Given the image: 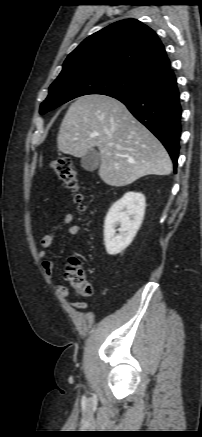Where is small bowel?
<instances>
[{
    "label": "small bowel",
    "instance_id": "obj_1",
    "mask_svg": "<svg viewBox=\"0 0 202 437\" xmlns=\"http://www.w3.org/2000/svg\"><path fill=\"white\" fill-rule=\"evenodd\" d=\"M73 215L71 213H66L60 222L54 224L48 233H46L41 238V250L38 253V258L41 260L42 269L49 280L53 279L54 272V262L48 259L49 249L51 248L57 233L65 229L66 232L71 236L81 237V228L78 225L72 224ZM58 292L65 299L68 298V291L63 286L57 287ZM70 305L76 309H85L86 305L82 302H69Z\"/></svg>",
    "mask_w": 202,
    "mask_h": 437
}]
</instances>
